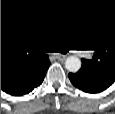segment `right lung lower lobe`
Instances as JSON below:
<instances>
[{
  "instance_id": "right-lung-lower-lobe-1",
  "label": "right lung lower lobe",
  "mask_w": 115,
  "mask_h": 114,
  "mask_svg": "<svg viewBox=\"0 0 115 114\" xmlns=\"http://www.w3.org/2000/svg\"><path fill=\"white\" fill-rule=\"evenodd\" d=\"M50 61L35 69L22 79L12 78L6 84L1 85V90L12 96L28 94L38 87L44 80Z\"/></svg>"
}]
</instances>
